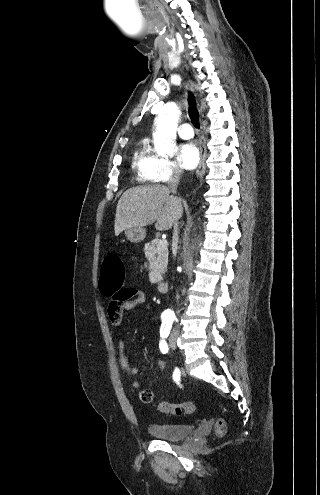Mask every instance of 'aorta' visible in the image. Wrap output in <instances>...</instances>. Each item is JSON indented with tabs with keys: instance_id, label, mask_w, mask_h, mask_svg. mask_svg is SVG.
<instances>
[{
	"instance_id": "aorta-1",
	"label": "aorta",
	"mask_w": 320,
	"mask_h": 495,
	"mask_svg": "<svg viewBox=\"0 0 320 495\" xmlns=\"http://www.w3.org/2000/svg\"><path fill=\"white\" fill-rule=\"evenodd\" d=\"M180 115L181 111L177 104L168 102L156 116L153 143L158 155L170 156L173 154Z\"/></svg>"
}]
</instances>
